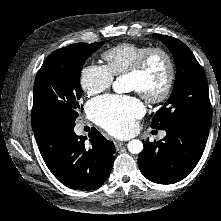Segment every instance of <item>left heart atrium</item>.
Segmentation results:
<instances>
[{
  "label": "left heart atrium",
  "instance_id": "39dd6f15",
  "mask_svg": "<svg viewBox=\"0 0 221 221\" xmlns=\"http://www.w3.org/2000/svg\"><path fill=\"white\" fill-rule=\"evenodd\" d=\"M89 112L109 133L124 138L136 131V120L144 114L145 107L134 96H105L92 101Z\"/></svg>",
  "mask_w": 221,
  "mask_h": 221
}]
</instances>
